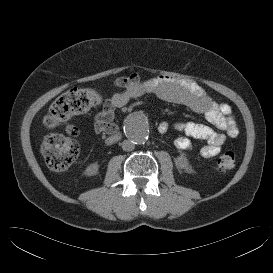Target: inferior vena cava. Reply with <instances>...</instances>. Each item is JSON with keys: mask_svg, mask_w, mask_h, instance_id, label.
I'll return each instance as SVG.
<instances>
[{"mask_svg": "<svg viewBox=\"0 0 273 273\" xmlns=\"http://www.w3.org/2000/svg\"><path fill=\"white\" fill-rule=\"evenodd\" d=\"M121 146L124 151H132L135 148L134 143L130 140H124Z\"/></svg>", "mask_w": 273, "mask_h": 273, "instance_id": "1", "label": "inferior vena cava"}]
</instances>
